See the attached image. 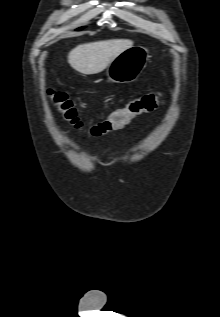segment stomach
<instances>
[{
  "label": "stomach",
  "instance_id": "0dacf381",
  "mask_svg": "<svg viewBox=\"0 0 220 317\" xmlns=\"http://www.w3.org/2000/svg\"><path fill=\"white\" fill-rule=\"evenodd\" d=\"M148 50L142 46H132L120 53L108 65L106 75L114 83L135 81L147 65Z\"/></svg>",
  "mask_w": 220,
  "mask_h": 317
}]
</instances>
